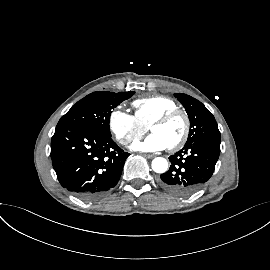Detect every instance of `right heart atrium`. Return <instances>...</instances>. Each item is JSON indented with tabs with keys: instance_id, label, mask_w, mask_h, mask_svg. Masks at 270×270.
<instances>
[{
	"instance_id": "d8ad5b80",
	"label": "right heart atrium",
	"mask_w": 270,
	"mask_h": 270,
	"mask_svg": "<svg viewBox=\"0 0 270 270\" xmlns=\"http://www.w3.org/2000/svg\"><path fill=\"white\" fill-rule=\"evenodd\" d=\"M108 127L115 139L126 147L143 135L146 130L135 115L119 108L110 113Z\"/></svg>"
}]
</instances>
